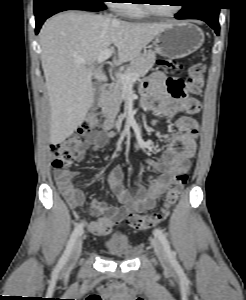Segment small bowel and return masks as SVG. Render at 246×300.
<instances>
[{"mask_svg":"<svg viewBox=\"0 0 246 300\" xmlns=\"http://www.w3.org/2000/svg\"><path fill=\"white\" fill-rule=\"evenodd\" d=\"M184 89L185 84L182 80L168 78L162 72H154L141 85L139 106L163 115L192 114V106L199 103L185 94ZM174 127L177 132L170 135L162 151V160L147 162L157 175L148 174L146 183L137 181L135 195H132L122 183V166L118 165L108 173L107 181L110 189L122 206H114L96 199L91 201L89 209L96 216V220L86 224L91 234L109 233L128 212L152 210L172 177L180 171L189 169L190 159L197 149L198 123L193 117L182 115L176 119ZM114 137L113 131L92 133L86 141L85 148L96 151ZM74 175L75 173L68 169H55L54 171V177L62 195L74 214L78 216L79 209L85 203V195L73 184Z\"/></svg>","mask_w":246,"mask_h":300,"instance_id":"1","label":"small bowel"}]
</instances>
